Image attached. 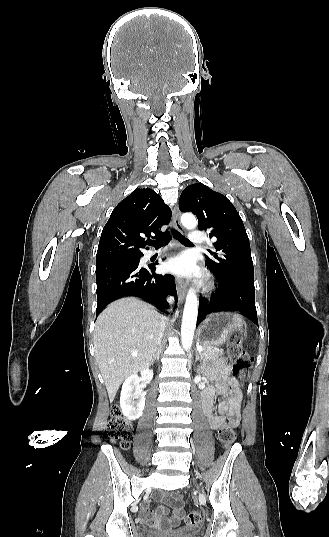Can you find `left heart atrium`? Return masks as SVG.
Segmentation results:
<instances>
[{"label":"left heart atrium","instance_id":"obj_1","mask_svg":"<svg viewBox=\"0 0 329 537\" xmlns=\"http://www.w3.org/2000/svg\"><path fill=\"white\" fill-rule=\"evenodd\" d=\"M166 269L172 273L188 276H199V269L195 264V259L189 254H182L173 257L166 263Z\"/></svg>","mask_w":329,"mask_h":537}]
</instances>
